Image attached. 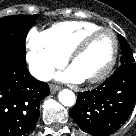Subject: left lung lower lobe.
I'll return each instance as SVG.
<instances>
[{"label": "left lung lower lobe", "instance_id": "1", "mask_svg": "<svg viewBox=\"0 0 136 136\" xmlns=\"http://www.w3.org/2000/svg\"><path fill=\"white\" fill-rule=\"evenodd\" d=\"M136 99V63L121 65L97 89L79 92L70 115L87 133L106 136L119 129Z\"/></svg>", "mask_w": 136, "mask_h": 136}]
</instances>
